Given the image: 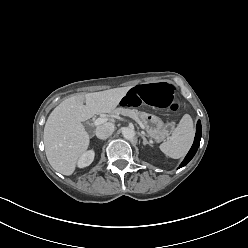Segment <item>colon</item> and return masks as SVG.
<instances>
[{
  "label": "colon",
  "mask_w": 248,
  "mask_h": 248,
  "mask_svg": "<svg viewBox=\"0 0 248 248\" xmlns=\"http://www.w3.org/2000/svg\"><path fill=\"white\" fill-rule=\"evenodd\" d=\"M145 102L159 109L178 110L182 100L177 96L174 86L168 83H151L133 87L122 101L125 108L138 107Z\"/></svg>",
  "instance_id": "obj_1"
}]
</instances>
